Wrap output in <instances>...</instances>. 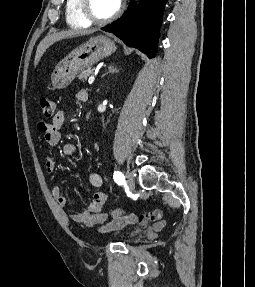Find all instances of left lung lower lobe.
<instances>
[{
	"label": "left lung lower lobe",
	"instance_id": "obj_1",
	"mask_svg": "<svg viewBox=\"0 0 255 287\" xmlns=\"http://www.w3.org/2000/svg\"><path fill=\"white\" fill-rule=\"evenodd\" d=\"M138 10L131 0L125 14L102 30L112 32L127 46L135 47L148 57L155 56L159 39V28L165 4L168 0H142Z\"/></svg>",
	"mask_w": 255,
	"mask_h": 287
}]
</instances>
